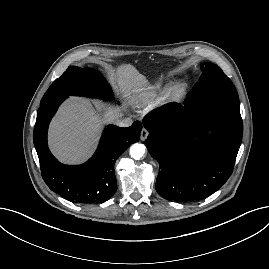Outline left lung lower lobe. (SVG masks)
I'll list each match as a JSON object with an SVG mask.
<instances>
[{
  "instance_id": "1",
  "label": "left lung lower lobe",
  "mask_w": 269,
  "mask_h": 269,
  "mask_svg": "<svg viewBox=\"0 0 269 269\" xmlns=\"http://www.w3.org/2000/svg\"><path fill=\"white\" fill-rule=\"evenodd\" d=\"M145 145L159 162L156 191L164 199L190 202L217 191L233 172L241 144L240 105L218 102L172 108L143 120ZM213 127L214 135H206ZM203 138V144L196 139Z\"/></svg>"
}]
</instances>
